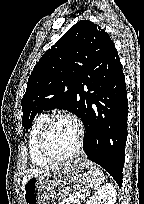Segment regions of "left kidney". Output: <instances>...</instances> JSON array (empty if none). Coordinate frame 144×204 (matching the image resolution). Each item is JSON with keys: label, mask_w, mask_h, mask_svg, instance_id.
<instances>
[{"label": "left kidney", "mask_w": 144, "mask_h": 204, "mask_svg": "<svg viewBox=\"0 0 144 204\" xmlns=\"http://www.w3.org/2000/svg\"><path fill=\"white\" fill-rule=\"evenodd\" d=\"M117 191L112 183L101 187L86 204H116Z\"/></svg>", "instance_id": "5707ae66"}]
</instances>
